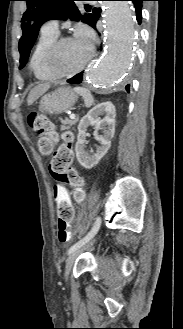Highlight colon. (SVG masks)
Listing matches in <instances>:
<instances>
[{
  "instance_id": "5ec220e1",
  "label": "colon",
  "mask_w": 183,
  "mask_h": 329,
  "mask_svg": "<svg viewBox=\"0 0 183 329\" xmlns=\"http://www.w3.org/2000/svg\"><path fill=\"white\" fill-rule=\"evenodd\" d=\"M28 126L38 135V147L42 154L49 155L53 152V157L49 165V171L55 182L66 184L73 188V196L77 202L84 198L83 178L80 172L72 166L73 162V137L71 133L63 134V143L56 149L57 134L50 120L41 113L32 112L27 119ZM58 201V199H55ZM69 201H71L69 199ZM73 218H58L60 242H67L71 234L68 224Z\"/></svg>"
}]
</instances>
